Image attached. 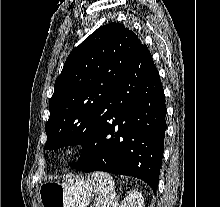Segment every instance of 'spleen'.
<instances>
[{"label":"spleen","mask_w":220,"mask_h":207,"mask_svg":"<svg viewBox=\"0 0 220 207\" xmlns=\"http://www.w3.org/2000/svg\"><path fill=\"white\" fill-rule=\"evenodd\" d=\"M92 177L97 185L96 207H116L117 197L112 177L104 172H94Z\"/></svg>","instance_id":"3e777b00"}]
</instances>
